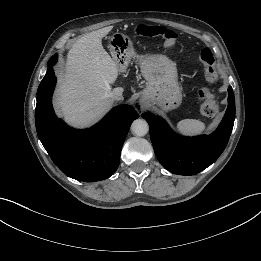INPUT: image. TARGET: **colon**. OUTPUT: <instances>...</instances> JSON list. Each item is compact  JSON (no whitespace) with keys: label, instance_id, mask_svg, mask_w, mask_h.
I'll use <instances>...</instances> for the list:
<instances>
[{"label":"colon","instance_id":"1","mask_svg":"<svg viewBox=\"0 0 261 261\" xmlns=\"http://www.w3.org/2000/svg\"><path fill=\"white\" fill-rule=\"evenodd\" d=\"M137 34L144 37H157L162 40L163 45L171 49L175 46L177 35L174 31L162 26L138 25ZM199 61L204 67V75L208 81L216 77L215 60L210 49L204 48L199 53ZM199 97L202 100L201 113L207 117H215L220 111L219 104L212 98L208 90H200Z\"/></svg>","mask_w":261,"mask_h":261}]
</instances>
